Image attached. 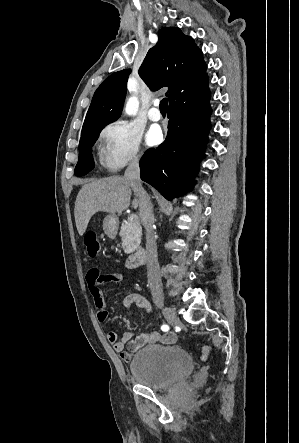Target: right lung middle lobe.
<instances>
[{"instance_id": "right-lung-middle-lobe-1", "label": "right lung middle lobe", "mask_w": 299, "mask_h": 443, "mask_svg": "<svg viewBox=\"0 0 299 443\" xmlns=\"http://www.w3.org/2000/svg\"><path fill=\"white\" fill-rule=\"evenodd\" d=\"M103 127L96 128L81 136L79 143V160L75 167V175H86L94 168L91 147L95 143Z\"/></svg>"}]
</instances>
